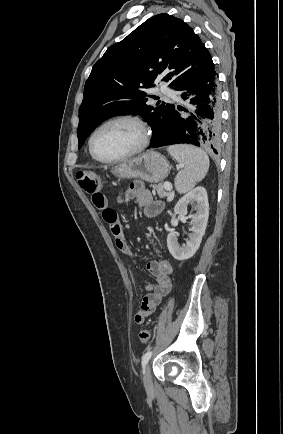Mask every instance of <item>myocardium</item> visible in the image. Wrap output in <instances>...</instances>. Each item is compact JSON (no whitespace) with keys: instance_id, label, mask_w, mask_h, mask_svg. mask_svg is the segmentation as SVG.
Masks as SVG:
<instances>
[{"instance_id":"f54148a6","label":"myocardium","mask_w":283,"mask_h":434,"mask_svg":"<svg viewBox=\"0 0 283 434\" xmlns=\"http://www.w3.org/2000/svg\"><path fill=\"white\" fill-rule=\"evenodd\" d=\"M116 122H129L134 124L140 132V141L139 144L136 146L135 149H133L132 151L117 157V158H111V159H106V158H102L100 157L94 150L93 147V141L94 138L96 136V134L105 126L112 124V123H116ZM150 139H151V130L150 127L148 125V123L139 115L136 114H120V115H116L113 116L111 118L106 119L105 121H103L102 123H100L91 133L89 140H88V147H89V151L92 155V157L101 162V163H107V164H112V163H118L124 160H127L129 158H132L138 154H140L141 152H143L147 146L150 143Z\"/></svg>"}]
</instances>
